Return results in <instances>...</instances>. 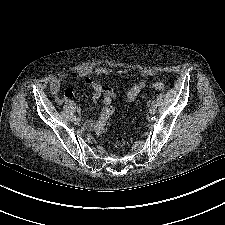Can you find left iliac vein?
Listing matches in <instances>:
<instances>
[{
    "label": "left iliac vein",
    "mask_w": 225,
    "mask_h": 225,
    "mask_svg": "<svg viewBox=\"0 0 225 225\" xmlns=\"http://www.w3.org/2000/svg\"><path fill=\"white\" fill-rule=\"evenodd\" d=\"M149 113L151 115H154L156 113V105H151V107L149 108Z\"/></svg>",
    "instance_id": "left-iliac-vein-1"
}]
</instances>
